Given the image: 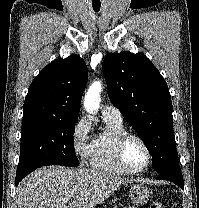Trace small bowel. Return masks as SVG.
Segmentation results:
<instances>
[{
    "label": "small bowel",
    "instance_id": "c3829d8e",
    "mask_svg": "<svg viewBox=\"0 0 199 208\" xmlns=\"http://www.w3.org/2000/svg\"><path fill=\"white\" fill-rule=\"evenodd\" d=\"M127 208H135L134 206H128Z\"/></svg>",
    "mask_w": 199,
    "mask_h": 208
}]
</instances>
